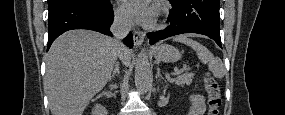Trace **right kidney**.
<instances>
[{
    "label": "right kidney",
    "instance_id": "1",
    "mask_svg": "<svg viewBox=\"0 0 285 115\" xmlns=\"http://www.w3.org/2000/svg\"><path fill=\"white\" fill-rule=\"evenodd\" d=\"M105 109L101 105H95L92 111L93 115H105Z\"/></svg>",
    "mask_w": 285,
    "mask_h": 115
}]
</instances>
